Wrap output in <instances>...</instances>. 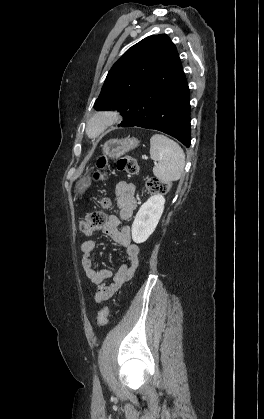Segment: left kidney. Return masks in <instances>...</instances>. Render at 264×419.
Segmentation results:
<instances>
[{"label":"left kidney","mask_w":264,"mask_h":419,"mask_svg":"<svg viewBox=\"0 0 264 419\" xmlns=\"http://www.w3.org/2000/svg\"><path fill=\"white\" fill-rule=\"evenodd\" d=\"M165 198L156 194L151 196L135 216L132 224V239L135 243L145 242L154 232L164 210Z\"/></svg>","instance_id":"1"}]
</instances>
